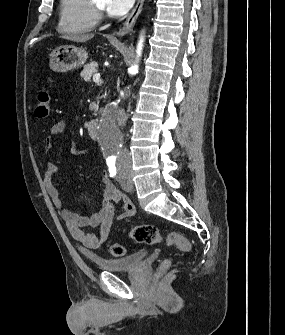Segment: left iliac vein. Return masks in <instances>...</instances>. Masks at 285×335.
<instances>
[{
    "label": "left iliac vein",
    "instance_id": "left-iliac-vein-1",
    "mask_svg": "<svg viewBox=\"0 0 285 335\" xmlns=\"http://www.w3.org/2000/svg\"><path fill=\"white\" fill-rule=\"evenodd\" d=\"M119 179H120V183L122 184V187L125 191H128V192L133 191V182L130 178L129 173H127V175H125L123 172H119Z\"/></svg>",
    "mask_w": 285,
    "mask_h": 335
}]
</instances>
